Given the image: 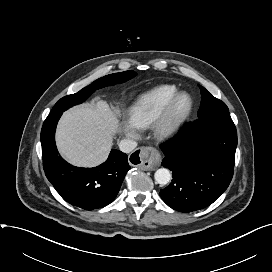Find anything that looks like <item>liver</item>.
<instances>
[{
    "label": "liver",
    "mask_w": 272,
    "mask_h": 272,
    "mask_svg": "<svg viewBox=\"0 0 272 272\" xmlns=\"http://www.w3.org/2000/svg\"><path fill=\"white\" fill-rule=\"evenodd\" d=\"M118 130L116 110L97 100L64 112L57 127V147L71 164L94 167L107 159Z\"/></svg>",
    "instance_id": "liver-1"
}]
</instances>
